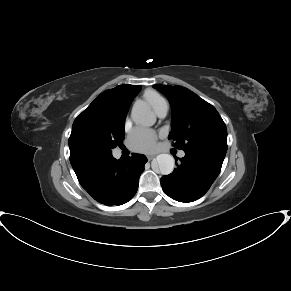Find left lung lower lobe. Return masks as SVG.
<instances>
[{
  "label": "left lung lower lobe",
  "mask_w": 291,
  "mask_h": 291,
  "mask_svg": "<svg viewBox=\"0 0 291 291\" xmlns=\"http://www.w3.org/2000/svg\"><path fill=\"white\" fill-rule=\"evenodd\" d=\"M174 171L161 178L165 194L176 201L192 202L201 198L220 173L224 153L189 149Z\"/></svg>",
  "instance_id": "1"
}]
</instances>
